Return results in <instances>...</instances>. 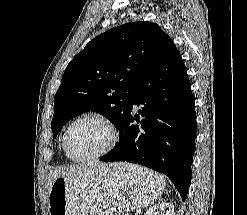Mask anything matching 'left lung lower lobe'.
Instances as JSON below:
<instances>
[{"instance_id":"1","label":"left lung lower lobe","mask_w":247,"mask_h":215,"mask_svg":"<svg viewBox=\"0 0 247 215\" xmlns=\"http://www.w3.org/2000/svg\"><path fill=\"white\" fill-rule=\"evenodd\" d=\"M143 118L132 116L133 105ZM136 121L138 124H134ZM196 113L190 81L173 41L138 85L119 128V143L100 160L127 161L167 175L187 197L196 138Z\"/></svg>"}]
</instances>
